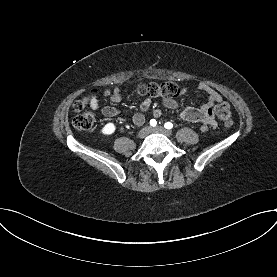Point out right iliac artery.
Segmentation results:
<instances>
[{"instance_id":"obj_1","label":"right iliac artery","mask_w":277,"mask_h":277,"mask_svg":"<svg viewBox=\"0 0 277 277\" xmlns=\"http://www.w3.org/2000/svg\"><path fill=\"white\" fill-rule=\"evenodd\" d=\"M156 124H157V122H156L155 119L150 120V125H151L152 127L156 126Z\"/></svg>"}]
</instances>
